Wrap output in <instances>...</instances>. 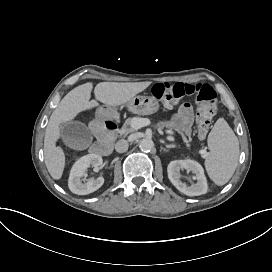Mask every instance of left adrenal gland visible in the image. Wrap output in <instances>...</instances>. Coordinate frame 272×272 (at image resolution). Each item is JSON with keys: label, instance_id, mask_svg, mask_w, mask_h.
I'll use <instances>...</instances> for the list:
<instances>
[{"label": "left adrenal gland", "instance_id": "obj_1", "mask_svg": "<svg viewBox=\"0 0 272 272\" xmlns=\"http://www.w3.org/2000/svg\"><path fill=\"white\" fill-rule=\"evenodd\" d=\"M163 143L165 144V147L168 148H176V145H167L165 141H163Z\"/></svg>", "mask_w": 272, "mask_h": 272}]
</instances>
